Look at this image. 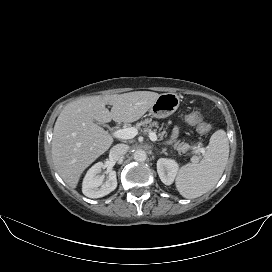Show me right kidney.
<instances>
[{
	"label": "right kidney",
	"instance_id": "1",
	"mask_svg": "<svg viewBox=\"0 0 272 272\" xmlns=\"http://www.w3.org/2000/svg\"><path fill=\"white\" fill-rule=\"evenodd\" d=\"M105 164L102 162L96 163L86 173L83 183L82 192L89 198H101L114 191L117 187L116 172H109L106 181L104 175H100Z\"/></svg>",
	"mask_w": 272,
	"mask_h": 272
}]
</instances>
